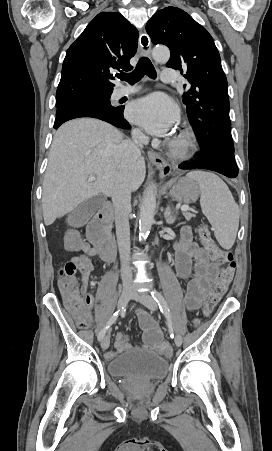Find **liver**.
<instances>
[{"instance_id": "obj_1", "label": "liver", "mask_w": 272, "mask_h": 451, "mask_svg": "<svg viewBox=\"0 0 272 451\" xmlns=\"http://www.w3.org/2000/svg\"><path fill=\"white\" fill-rule=\"evenodd\" d=\"M122 134L101 120L78 118L57 130L44 176L42 210L45 226L62 218L79 204L98 196H112L115 184V152ZM96 180L88 182V178ZM146 176L144 158L130 170L129 186L136 192Z\"/></svg>"}]
</instances>
